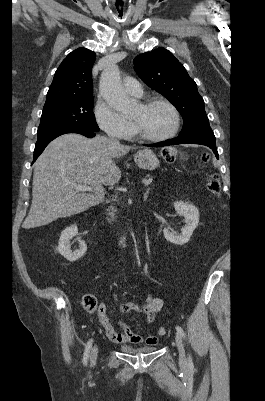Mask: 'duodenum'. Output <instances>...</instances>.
<instances>
[{
  "instance_id": "obj_1",
  "label": "duodenum",
  "mask_w": 265,
  "mask_h": 401,
  "mask_svg": "<svg viewBox=\"0 0 265 401\" xmlns=\"http://www.w3.org/2000/svg\"><path fill=\"white\" fill-rule=\"evenodd\" d=\"M119 243H120L122 246H125V245H126V237H122V238L120 239Z\"/></svg>"
}]
</instances>
